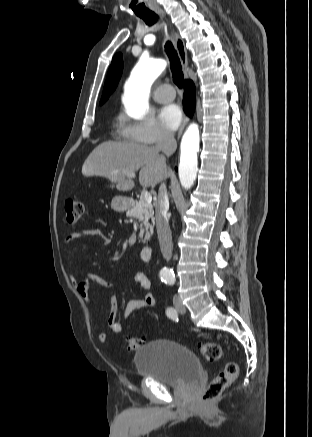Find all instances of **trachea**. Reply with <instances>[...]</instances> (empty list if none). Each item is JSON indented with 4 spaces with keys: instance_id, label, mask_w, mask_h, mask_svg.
<instances>
[{
    "instance_id": "obj_1",
    "label": "trachea",
    "mask_w": 312,
    "mask_h": 437,
    "mask_svg": "<svg viewBox=\"0 0 312 437\" xmlns=\"http://www.w3.org/2000/svg\"><path fill=\"white\" fill-rule=\"evenodd\" d=\"M139 17L148 26H152L158 21V16L156 14L139 15ZM165 51H166V53L169 57V60H170V68H171L174 83L179 88H182L183 82H184V75L182 72L181 62H180V59L177 55V52L175 51V49L170 41L166 42Z\"/></svg>"
}]
</instances>
